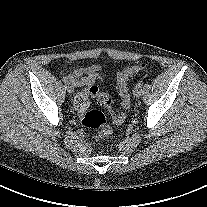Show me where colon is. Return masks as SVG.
<instances>
[{
  "instance_id": "1",
  "label": "colon",
  "mask_w": 207,
  "mask_h": 207,
  "mask_svg": "<svg viewBox=\"0 0 207 207\" xmlns=\"http://www.w3.org/2000/svg\"><path fill=\"white\" fill-rule=\"evenodd\" d=\"M144 68V64L127 66L118 74L117 89L123 107V111L120 113H115L113 111L112 99L107 93L101 92L94 84L88 86L75 96L74 107L81 116V123L87 128L97 130V133L94 135L96 141L101 138L109 137L113 130L106 124V118L102 112L98 110H89L90 97L94 98L99 106L110 111L112 120L115 124H122L126 119V112L129 109L131 102L128 80L143 71Z\"/></svg>"
}]
</instances>
